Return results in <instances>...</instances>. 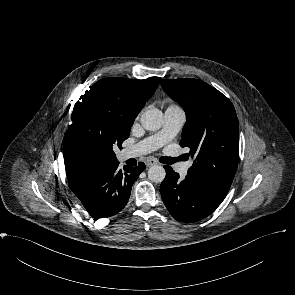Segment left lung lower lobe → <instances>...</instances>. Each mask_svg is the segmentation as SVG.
Returning <instances> with one entry per match:
<instances>
[{
	"instance_id": "0a47b994",
	"label": "left lung lower lobe",
	"mask_w": 295,
	"mask_h": 295,
	"mask_svg": "<svg viewBox=\"0 0 295 295\" xmlns=\"http://www.w3.org/2000/svg\"><path fill=\"white\" fill-rule=\"evenodd\" d=\"M166 178L161 183L162 200L173 218L181 222H196L212 214L224 199L211 194L203 185L188 175L179 174L164 166Z\"/></svg>"
}]
</instances>
